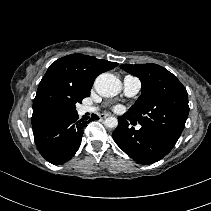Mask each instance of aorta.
Here are the masks:
<instances>
[{
    "mask_svg": "<svg viewBox=\"0 0 211 211\" xmlns=\"http://www.w3.org/2000/svg\"><path fill=\"white\" fill-rule=\"evenodd\" d=\"M96 92L103 97H114L121 91V81L110 73L100 74L94 82ZM104 125L108 128H116L118 120L115 117L105 119Z\"/></svg>",
    "mask_w": 211,
    "mask_h": 211,
    "instance_id": "762f6f07",
    "label": "aorta"
}]
</instances>
